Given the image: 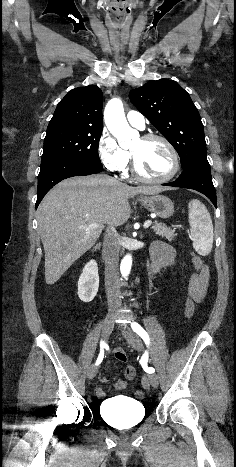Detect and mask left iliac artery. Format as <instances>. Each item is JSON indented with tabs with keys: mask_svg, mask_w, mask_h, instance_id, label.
I'll return each mask as SVG.
<instances>
[{
	"mask_svg": "<svg viewBox=\"0 0 236 467\" xmlns=\"http://www.w3.org/2000/svg\"><path fill=\"white\" fill-rule=\"evenodd\" d=\"M131 328L133 329L134 332H136L142 339L143 341L145 342V344L147 346H149L150 344V338H149V335L148 333L141 327L140 324H138L137 322H133L131 324ZM147 360H148V353L146 352L144 357H143V360H142V367L143 369L148 372V373H153L155 372V369L153 367H148L147 366Z\"/></svg>",
	"mask_w": 236,
	"mask_h": 467,
	"instance_id": "obj_1",
	"label": "left iliac artery"
}]
</instances>
